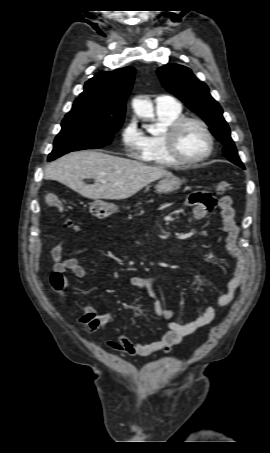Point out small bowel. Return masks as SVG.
<instances>
[{
	"instance_id": "obj_1",
	"label": "small bowel",
	"mask_w": 270,
	"mask_h": 453,
	"mask_svg": "<svg viewBox=\"0 0 270 453\" xmlns=\"http://www.w3.org/2000/svg\"><path fill=\"white\" fill-rule=\"evenodd\" d=\"M188 204L194 208V217L196 219L204 218L212 209L201 203L196 193L189 197ZM217 205L222 220V229L226 233V249L235 260V266L226 282V290L219 296L216 305L206 307L200 315L186 323L176 322L173 319L174 313L166 309L158 298L156 291L158 279L133 276L129 279V284L143 291L151 298L154 314L167 321L168 330L160 340L151 343L134 342L124 334L118 332L117 340H111L106 343V346L110 350L130 357H148L158 351L169 353L180 343L183 337L210 324L215 317L216 308H223L233 301L244 279L247 260L237 245L239 227L235 222V211L232 206L231 197H221ZM62 254L63 242H60L51 249V256L54 260V273L62 276L63 288H66L69 285V280L64 275L66 271H71L77 278H83L86 276V269L80 264L77 258H64ZM102 300L105 303L107 302L105 296L102 297ZM76 323L82 326L87 333H94L102 327L114 326V315L109 307L106 308L105 312L99 313L94 307L87 305L84 307V313L76 319Z\"/></svg>"
}]
</instances>
